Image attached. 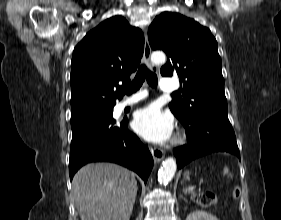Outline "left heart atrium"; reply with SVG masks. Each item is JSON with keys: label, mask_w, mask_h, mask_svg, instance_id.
<instances>
[{"label": "left heart atrium", "mask_w": 281, "mask_h": 220, "mask_svg": "<svg viewBox=\"0 0 281 220\" xmlns=\"http://www.w3.org/2000/svg\"><path fill=\"white\" fill-rule=\"evenodd\" d=\"M173 118L152 104L139 109L134 116L133 128L145 140L163 143L170 139L173 132Z\"/></svg>", "instance_id": "1"}]
</instances>
